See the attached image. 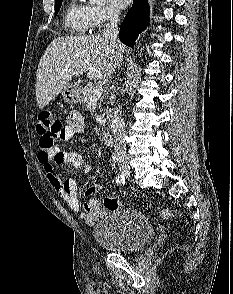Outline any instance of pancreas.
<instances>
[{
  "instance_id": "1",
  "label": "pancreas",
  "mask_w": 233,
  "mask_h": 294,
  "mask_svg": "<svg viewBox=\"0 0 233 294\" xmlns=\"http://www.w3.org/2000/svg\"><path fill=\"white\" fill-rule=\"evenodd\" d=\"M93 89V87L90 84H86L82 89V102L83 103H88L92 97V93L91 90ZM98 99L102 100L101 97H99Z\"/></svg>"
}]
</instances>
